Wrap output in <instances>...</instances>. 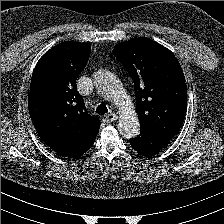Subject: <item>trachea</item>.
<instances>
[{
  "instance_id": "3493384b",
  "label": "trachea",
  "mask_w": 224,
  "mask_h": 224,
  "mask_svg": "<svg viewBox=\"0 0 224 224\" xmlns=\"http://www.w3.org/2000/svg\"><path fill=\"white\" fill-rule=\"evenodd\" d=\"M107 112H108L107 106L103 103L98 105V107L96 108V113L98 114H105Z\"/></svg>"
}]
</instances>
